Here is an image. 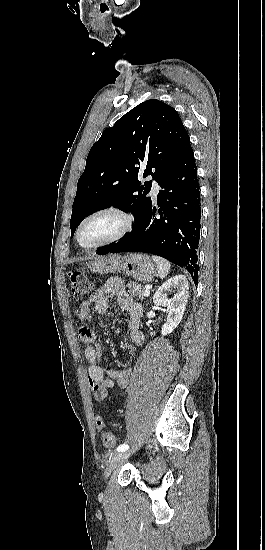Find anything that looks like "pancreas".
<instances>
[{"instance_id": "obj_1", "label": "pancreas", "mask_w": 265, "mask_h": 550, "mask_svg": "<svg viewBox=\"0 0 265 550\" xmlns=\"http://www.w3.org/2000/svg\"><path fill=\"white\" fill-rule=\"evenodd\" d=\"M127 287L129 288V293L132 297H136L139 300L143 299V292L145 290L143 286L138 283H127Z\"/></svg>"}]
</instances>
